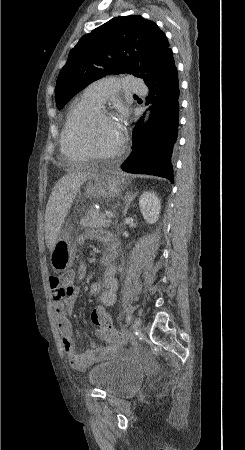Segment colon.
<instances>
[{
	"label": "colon",
	"instance_id": "1",
	"mask_svg": "<svg viewBox=\"0 0 245 450\" xmlns=\"http://www.w3.org/2000/svg\"><path fill=\"white\" fill-rule=\"evenodd\" d=\"M69 280L68 277H65L63 281L67 282ZM91 321L92 323L100 329L105 330L108 336L112 337L114 340L118 342H124L125 337L120 332L116 331L114 328L111 318L108 315L107 311L100 307L96 306L91 311Z\"/></svg>",
	"mask_w": 245,
	"mask_h": 450
}]
</instances>
